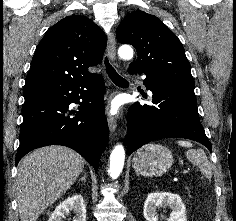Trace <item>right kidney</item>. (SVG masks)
Instances as JSON below:
<instances>
[{"label":"right kidney","mask_w":236,"mask_h":221,"mask_svg":"<svg viewBox=\"0 0 236 221\" xmlns=\"http://www.w3.org/2000/svg\"><path fill=\"white\" fill-rule=\"evenodd\" d=\"M74 211L75 217L73 221H86V206L83 197L75 194L60 203L51 214L48 221H62L65 214Z\"/></svg>","instance_id":"right-kidney-1"}]
</instances>
